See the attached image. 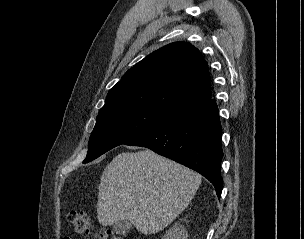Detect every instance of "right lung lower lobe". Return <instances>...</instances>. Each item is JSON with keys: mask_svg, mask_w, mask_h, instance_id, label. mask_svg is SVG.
Here are the masks:
<instances>
[{"mask_svg": "<svg viewBox=\"0 0 304 239\" xmlns=\"http://www.w3.org/2000/svg\"><path fill=\"white\" fill-rule=\"evenodd\" d=\"M222 128L214 100L174 116L125 145L141 146L187 166L206 177L221 196Z\"/></svg>", "mask_w": 304, "mask_h": 239, "instance_id": "1", "label": "right lung lower lobe"}]
</instances>
